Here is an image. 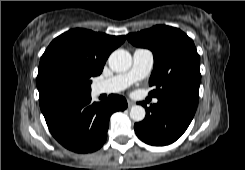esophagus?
<instances>
[{
	"instance_id": "1",
	"label": "esophagus",
	"mask_w": 245,
	"mask_h": 170,
	"mask_svg": "<svg viewBox=\"0 0 245 170\" xmlns=\"http://www.w3.org/2000/svg\"><path fill=\"white\" fill-rule=\"evenodd\" d=\"M127 103H128V107H131L135 104L133 101H131L129 99L127 100Z\"/></svg>"
}]
</instances>
